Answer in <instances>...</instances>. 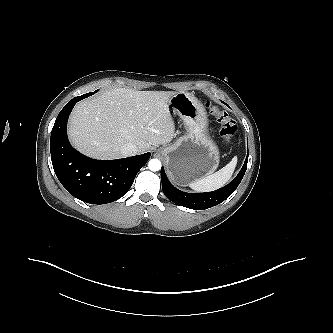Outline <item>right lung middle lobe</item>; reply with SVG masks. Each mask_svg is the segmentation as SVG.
Wrapping results in <instances>:
<instances>
[{"label": "right lung middle lobe", "mask_w": 333, "mask_h": 333, "mask_svg": "<svg viewBox=\"0 0 333 333\" xmlns=\"http://www.w3.org/2000/svg\"><path fill=\"white\" fill-rule=\"evenodd\" d=\"M97 91H98V90H96V91H94V92H90V93L84 94V95L79 96V97H80L81 99H84V98H86V97H89V96L95 94Z\"/></svg>", "instance_id": "right-lung-middle-lobe-1"}]
</instances>
